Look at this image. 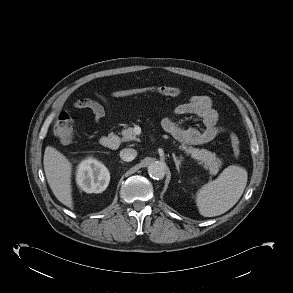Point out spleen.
<instances>
[{
  "instance_id": "3e777b00",
  "label": "spleen",
  "mask_w": 293,
  "mask_h": 293,
  "mask_svg": "<svg viewBox=\"0 0 293 293\" xmlns=\"http://www.w3.org/2000/svg\"><path fill=\"white\" fill-rule=\"evenodd\" d=\"M246 169L230 165L213 181L204 184L196 194V204L204 217L221 215L231 209L247 185Z\"/></svg>"
}]
</instances>
